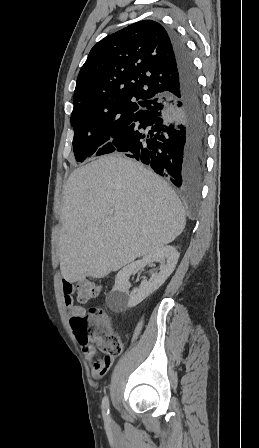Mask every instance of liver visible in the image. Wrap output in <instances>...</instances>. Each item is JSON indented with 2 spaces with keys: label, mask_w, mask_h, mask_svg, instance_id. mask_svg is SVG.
Wrapping results in <instances>:
<instances>
[{
  "label": "liver",
  "mask_w": 259,
  "mask_h": 448,
  "mask_svg": "<svg viewBox=\"0 0 259 448\" xmlns=\"http://www.w3.org/2000/svg\"><path fill=\"white\" fill-rule=\"evenodd\" d=\"M60 222V270L73 284L87 276L105 278L153 254L182 234L186 218L160 176L132 158L110 154L70 174Z\"/></svg>",
  "instance_id": "1"
}]
</instances>
